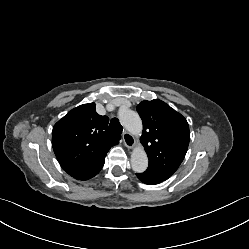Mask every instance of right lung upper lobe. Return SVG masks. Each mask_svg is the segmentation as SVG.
<instances>
[{
  "instance_id": "cb5924a9",
  "label": "right lung upper lobe",
  "mask_w": 249,
  "mask_h": 249,
  "mask_svg": "<svg viewBox=\"0 0 249 249\" xmlns=\"http://www.w3.org/2000/svg\"><path fill=\"white\" fill-rule=\"evenodd\" d=\"M108 122V117L97 114L95 104L89 103L72 109L54 125L52 146L66 173L78 180L98 174L107 152L120 140Z\"/></svg>"
}]
</instances>
